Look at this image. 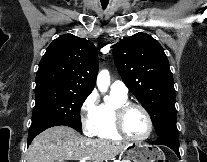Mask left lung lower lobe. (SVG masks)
Segmentation results:
<instances>
[{
    "instance_id": "left-lung-lower-lobe-1",
    "label": "left lung lower lobe",
    "mask_w": 207,
    "mask_h": 162,
    "mask_svg": "<svg viewBox=\"0 0 207 162\" xmlns=\"http://www.w3.org/2000/svg\"><path fill=\"white\" fill-rule=\"evenodd\" d=\"M156 144L165 145L171 148L180 158L179 153V132L177 128L169 129L158 136Z\"/></svg>"
}]
</instances>
